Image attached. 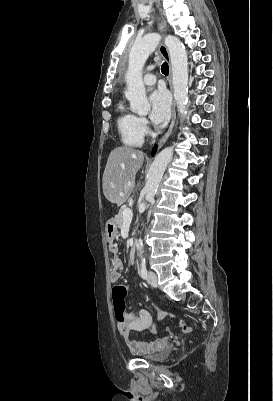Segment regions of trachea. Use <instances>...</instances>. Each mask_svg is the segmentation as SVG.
<instances>
[{
	"mask_svg": "<svg viewBox=\"0 0 273 401\" xmlns=\"http://www.w3.org/2000/svg\"><path fill=\"white\" fill-rule=\"evenodd\" d=\"M161 71H162V73H164L165 75H168V73H169V66H168V64H167L166 62L162 64V66H161Z\"/></svg>",
	"mask_w": 273,
	"mask_h": 401,
	"instance_id": "1",
	"label": "trachea"
}]
</instances>
